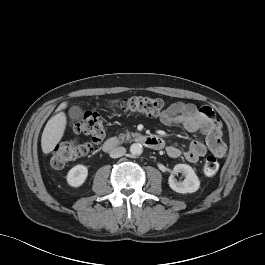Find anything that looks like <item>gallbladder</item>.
Listing matches in <instances>:
<instances>
[{"label":"gallbladder","instance_id":"obj_1","mask_svg":"<svg viewBox=\"0 0 265 265\" xmlns=\"http://www.w3.org/2000/svg\"><path fill=\"white\" fill-rule=\"evenodd\" d=\"M69 116L72 120H80L83 116V111L78 106H72L69 109Z\"/></svg>","mask_w":265,"mask_h":265}]
</instances>
